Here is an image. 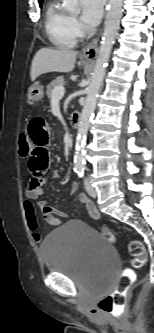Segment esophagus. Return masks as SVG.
<instances>
[{"instance_id":"obj_1","label":"esophagus","mask_w":154,"mask_h":333,"mask_svg":"<svg viewBox=\"0 0 154 333\" xmlns=\"http://www.w3.org/2000/svg\"><path fill=\"white\" fill-rule=\"evenodd\" d=\"M99 38L100 34L83 48L82 55L84 57L93 58L96 56L98 51Z\"/></svg>"}]
</instances>
